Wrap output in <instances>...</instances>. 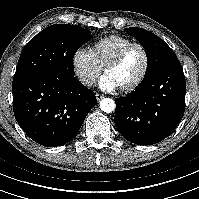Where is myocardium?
Segmentation results:
<instances>
[{
    "label": "myocardium",
    "instance_id": "obj_1",
    "mask_svg": "<svg viewBox=\"0 0 199 199\" xmlns=\"http://www.w3.org/2000/svg\"><path fill=\"white\" fill-rule=\"evenodd\" d=\"M134 47L140 48L144 54V59H145L144 68H143L140 76L132 84L120 89V91L122 93H130V92L136 90L145 81V79L148 75V72H149V68H150V55H149V52H148L146 46L139 42H132V43L126 45L103 68V74H105L106 71L117 67L120 64V62L122 61V59L124 58V56L127 54V52Z\"/></svg>",
    "mask_w": 199,
    "mask_h": 199
}]
</instances>
